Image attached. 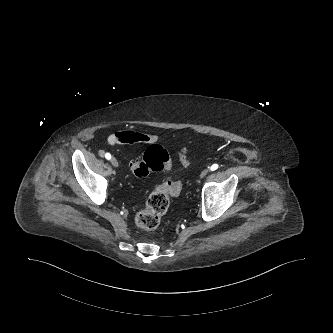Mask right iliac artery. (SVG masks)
<instances>
[{
  "mask_svg": "<svg viewBox=\"0 0 333 333\" xmlns=\"http://www.w3.org/2000/svg\"><path fill=\"white\" fill-rule=\"evenodd\" d=\"M105 158L108 159V160H110L111 159V154L110 153H106L105 154Z\"/></svg>",
  "mask_w": 333,
  "mask_h": 333,
  "instance_id": "obj_1",
  "label": "right iliac artery"
}]
</instances>
